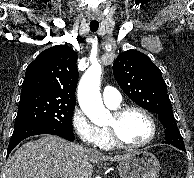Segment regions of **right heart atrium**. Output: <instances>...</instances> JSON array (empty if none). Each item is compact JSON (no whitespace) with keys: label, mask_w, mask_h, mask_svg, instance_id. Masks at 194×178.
<instances>
[{"label":"right heart atrium","mask_w":194,"mask_h":178,"mask_svg":"<svg viewBox=\"0 0 194 178\" xmlns=\"http://www.w3.org/2000/svg\"><path fill=\"white\" fill-rule=\"evenodd\" d=\"M72 128L85 145L96 146L100 140V129L94 125L80 108H76L71 116Z\"/></svg>","instance_id":"right-heart-atrium-1"}]
</instances>
